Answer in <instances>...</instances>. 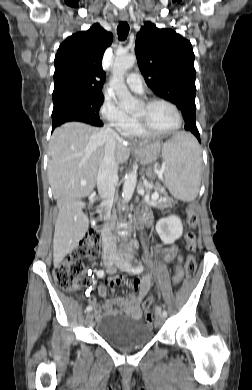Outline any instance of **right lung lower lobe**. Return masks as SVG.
Returning a JSON list of instances; mask_svg holds the SVG:
<instances>
[{
  "label": "right lung lower lobe",
  "mask_w": 252,
  "mask_h": 390,
  "mask_svg": "<svg viewBox=\"0 0 252 390\" xmlns=\"http://www.w3.org/2000/svg\"><path fill=\"white\" fill-rule=\"evenodd\" d=\"M69 121H80V122L88 123V124H91V125H94V126H102V125H103V124H95V123H92V122L87 121V120H84V119H78V118H64V119H59V120H57V121H54V122H53V126H52V130H53L55 127H57V126H59V125L65 123V122H69Z\"/></svg>",
  "instance_id": "obj_1"
}]
</instances>
